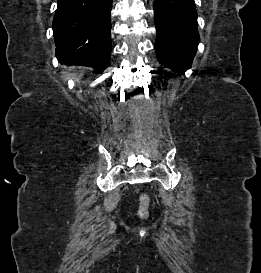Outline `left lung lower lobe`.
Here are the masks:
<instances>
[{
	"label": "left lung lower lobe",
	"mask_w": 261,
	"mask_h": 273,
	"mask_svg": "<svg viewBox=\"0 0 261 273\" xmlns=\"http://www.w3.org/2000/svg\"><path fill=\"white\" fill-rule=\"evenodd\" d=\"M158 61L179 73L191 68L200 41L194 0H155Z\"/></svg>",
	"instance_id": "obj_1"
}]
</instances>
